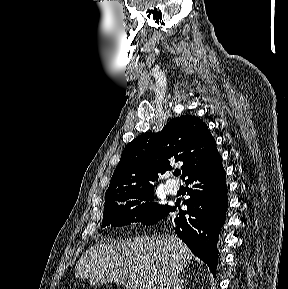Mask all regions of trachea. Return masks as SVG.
<instances>
[{"label": "trachea", "instance_id": "trachea-1", "mask_svg": "<svg viewBox=\"0 0 288 289\" xmlns=\"http://www.w3.org/2000/svg\"><path fill=\"white\" fill-rule=\"evenodd\" d=\"M181 174V171L180 170H176L175 172H174V175L175 176H179Z\"/></svg>", "mask_w": 288, "mask_h": 289}]
</instances>
